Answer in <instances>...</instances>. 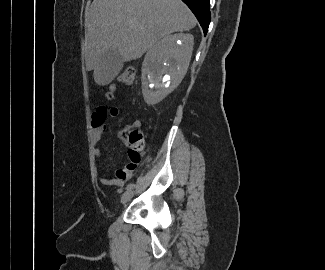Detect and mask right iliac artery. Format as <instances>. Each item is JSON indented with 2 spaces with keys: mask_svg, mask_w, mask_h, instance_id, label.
<instances>
[{
  "mask_svg": "<svg viewBox=\"0 0 325 270\" xmlns=\"http://www.w3.org/2000/svg\"><path fill=\"white\" fill-rule=\"evenodd\" d=\"M135 185L134 184H128L127 186H126V190H131L133 187H134Z\"/></svg>",
  "mask_w": 325,
  "mask_h": 270,
  "instance_id": "right-iliac-artery-1",
  "label": "right iliac artery"
}]
</instances>
